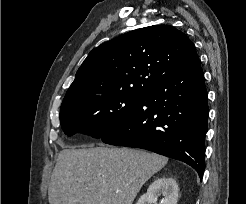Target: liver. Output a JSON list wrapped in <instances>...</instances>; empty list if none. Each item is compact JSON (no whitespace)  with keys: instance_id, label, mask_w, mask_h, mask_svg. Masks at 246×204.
I'll use <instances>...</instances> for the list:
<instances>
[{"instance_id":"liver-1","label":"liver","mask_w":246,"mask_h":204,"mask_svg":"<svg viewBox=\"0 0 246 204\" xmlns=\"http://www.w3.org/2000/svg\"><path fill=\"white\" fill-rule=\"evenodd\" d=\"M167 162V157L136 149H63L51 175L49 204H132Z\"/></svg>"}]
</instances>
